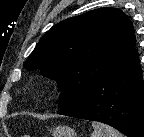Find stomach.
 Returning a JSON list of instances; mask_svg holds the SVG:
<instances>
[{"instance_id":"0dacf381","label":"stomach","mask_w":144,"mask_h":137,"mask_svg":"<svg viewBox=\"0 0 144 137\" xmlns=\"http://www.w3.org/2000/svg\"><path fill=\"white\" fill-rule=\"evenodd\" d=\"M52 136L53 137H76V133L71 127L65 125H59L53 129Z\"/></svg>"}]
</instances>
